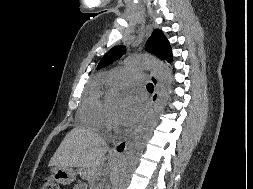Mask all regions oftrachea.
<instances>
[{"label": "trachea", "mask_w": 253, "mask_h": 189, "mask_svg": "<svg viewBox=\"0 0 253 189\" xmlns=\"http://www.w3.org/2000/svg\"><path fill=\"white\" fill-rule=\"evenodd\" d=\"M153 89H154L153 84L152 83H148L147 84V90L152 92Z\"/></svg>", "instance_id": "1"}]
</instances>
